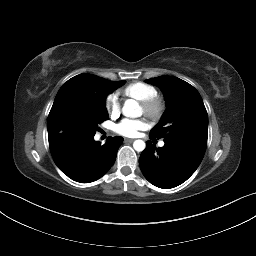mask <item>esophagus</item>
I'll use <instances>...</instances> for the list:
<instances>
[{"label":"esophagus","mask_w":256,"mask_h":256,"mask_svg":"<svg viewBox=\"0 0 256 256\" xmlns=\"http://www.w3.org/2000/svg\"><path fill=\"white\" fill-rule=\"evenodd\" d=\"M134 141V139H130V138H125L124 139V142H129V143H131V142H133Z\"/></svg>","instance_id":"1"}]
</instances>
